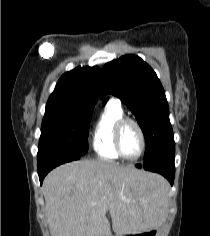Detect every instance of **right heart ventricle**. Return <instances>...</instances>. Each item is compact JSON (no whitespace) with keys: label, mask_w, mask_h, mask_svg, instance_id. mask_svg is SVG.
<instances>
[{"label":"right heart ventricle","mask_w":210,"mask_h":236,"mask_svg":"<svg viewBox=\"0 0 210 236\" xmlns=\"http://www.w3.org/2000/svg\"><path fill=\"white\" fill-rule=\"evenodd\" d=\"M124 117L118 101L110 100L99 114L92 134V147L101 158L117 160L120 158L114 146L116 123Z\"/></svg>","instance_id":"obj_1"}]
</instances>
